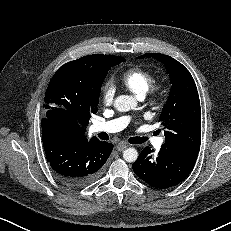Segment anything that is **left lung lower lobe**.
Listing matches in <instances>:
<instances>
[{"instance_id":"0a47b994","label":"left lung lower lobe","mask_w":231,"mask_h":231,"mask_svg":"<svg viewBox=\"0 0 231 231\" xmlns=\"http://www.w3.org/2000/svg\"><path fill=\"white\" fill-rule=\"evenodd\" d=\"M197 157L185 156L165 148L155 155L146 147L132 167L136 175L154 188H169L178 185L191 173Z\"/></svg>"}]
</instances>
